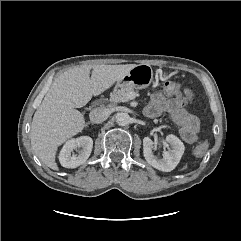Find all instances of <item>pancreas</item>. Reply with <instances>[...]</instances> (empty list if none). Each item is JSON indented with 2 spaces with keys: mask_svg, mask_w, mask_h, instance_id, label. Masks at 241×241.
<instances>
[{
  "mask_svg": "<svg viewBox=\"0 0 241 241\" xmlns=\"http://www.w3.org/2000/svg\"><path fill=\"white\" fill-rule=\"evenodd\" d=\"M131 92H134V88L132 86L121 87V89H118L112 94L111 99L126 102L129 100L127 95Z\"/></svg>",
  "mask_w": 241,
  "mask_h": 241,
  "instance_id": "obj_1",
  "label": "pancreas"
}]
</instances>
